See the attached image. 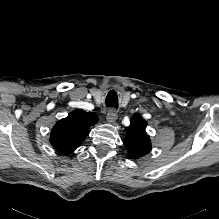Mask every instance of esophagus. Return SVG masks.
Segmentation results:
<instances>
[{
    "label": "esophagus",
    "instance_id": "34e87169",
    "mask_svg": "<svg viewBox=\"0 0 219 219\" xmlns=\"http://www.w3.org/2000/svg\"><path fill=\"white\" fill-rule=\"evenodd\" d=\"M106 119L109 123H114L117 119V113L116 110L114 108H109L107 110V116Z\"/></svg>",
    "mask_w": 219,
    "mask_h": 219
}]
</instances>
